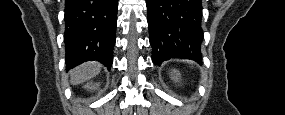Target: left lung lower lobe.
<instances>
[{
	"mask_svg": "<svg viewBox=\"0 0 285 115\" xmlns=\"http://www.w3.org/2000/svg\"><path fill=\"white\" fill-rule=\"evenodd\" d=\"M152 60L173 57L201 62V0H146Z\"/></svg>",
	"mask_w": 285,
	"mask_h": 115,
	"instance_id": "obj_1",
	"label": "left lung lower lobe"
}]
</instances>
